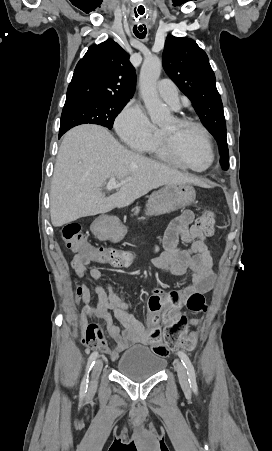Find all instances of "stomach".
Masks as SVG:
<instances>
[{
  "label": "stomach",
  "instance_id": "stomach-1",
  "mask_svg": "<svg viewBox=\"0 0 272 451\" xmlns=\"http://www.w3.org/2000/svg\"><path fill=\"white\" fill-rule=\"evenodd\" d=\"M195 198L196 192L189 184H165L164 188L151 194L147 204V216H159L181 210L191 206ZM126 231L125 226L117 227L111 237L112 241L123 239Z\"/></svg>",
  "mask_w": 272,
  "mask_h": 451
}]
</instances>
